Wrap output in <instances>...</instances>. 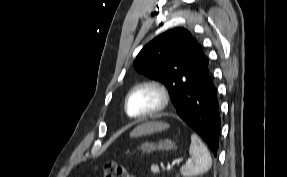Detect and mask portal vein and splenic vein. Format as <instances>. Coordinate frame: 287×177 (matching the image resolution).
I'll return each instance as SVG.
<instances>
[{
    "instance_id": "portal-vein-and-splenic-vein-1",
    "label": "portal vein and splenic vein",
    "mask_w": 287,
    "mask_h": 177,
    "mask_svg": "<svg viewBox=\"0 0 287 177\" xmlns=\"http://www.w3.org/2000/svg\"><path fill=\"white\" fill-rule=\"evenodd\" d=\"M172 169V165L169 163V164H167V167H166V170L167 171H170Z\"/></svg>"
}]
</instances>
